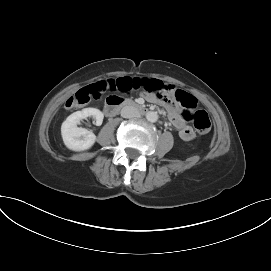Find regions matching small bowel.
<instances>
[{"instance_id":"small-bowel-1","label":"small bowel","mask_w":271,"mask_h":271,"mask_svg":"<svg viewBox=\"0 0 271 271\" xmlns=\"http://www.w3.org/2000/svg\"><path fill=\"white\" fill-rule=\"evenodd\" d=\"M100 88L108 86V82L102 81L96 84ZM139 90L144 91V97L154 105H165L172 125L178 130L179 137L184 141H191L195 137L193 129L186 124L180 108L174 100L175 90L160 76H140Z\"/></svg>"}]
</instances>
